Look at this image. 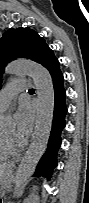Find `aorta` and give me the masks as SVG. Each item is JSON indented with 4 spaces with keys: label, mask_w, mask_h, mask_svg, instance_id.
I'll return each instance as SVG.
<instances>
[{
    "label": "aorta",
    "mask_w": 89,
    "mask_h": 203,
    "mask_svg": "<svg viewBox=\"0 0 89 203\" xmlns=\"http://www.w3.org/2000/svg\"><path fill=\"white\" fill-rule=\"evenodd\" d=\"M8 75H28L33 79L38 96V109L32 141L19 164L13 180V198L17 197L23 185L33 174L37 163L47 149L53 121L55 94L49 71L42 65L17 59L10 62L5 70ZM8 116H2V120Z\"/></svg>",
    "instance_id": "762f6f07"
}]
</instances>
